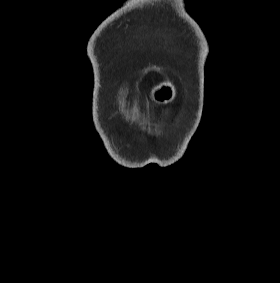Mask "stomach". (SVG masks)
I'll list each match as a JSON object with an SVG mask.
<instances>
[{"instance_id":"0dacf381","label":"stomach","mask_w":280,"mask_h":283,"mask_svg":"<svg viewBox=\"0 0 280 283\" xmlns=\"http://www.w3.org/2000/svg\"><path fill=\"white\" fill-rule=\"evenodd\" d=\"M176 97L175 86L170 81H163L154 86L150 93L152 101L158 104H167Z\"/></svg>"}]
</instances>
